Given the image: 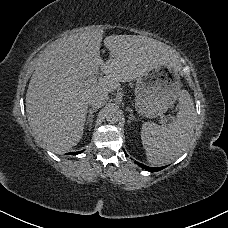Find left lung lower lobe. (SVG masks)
<instances>
[{"label": "left lung lower lobe", "instance_id": "0a47b994", "mask_svg": "<svg viewBox=\"0 0 228 228\" xmlns=\"http://www.w3.org/2000/svg\"><path fill=\"white\" fill-rule=\"evenodd\" d=\"M127 155V154H126ZM136 164H138L140 167H142L143 169L150 171V172H157L160 171L161 169H163L164 167H159V168H152V167H148L146 165H143L139 162H136Z\"/></svg>", "mask_w": 228, "mask_h": 228}]
</instances>
